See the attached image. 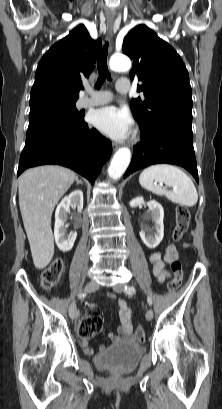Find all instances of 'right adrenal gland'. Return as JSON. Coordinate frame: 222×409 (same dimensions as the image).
<instances>
[{"label": "right adrenal gland", "mask_w": 222, "mask_h": 409, "mask_svg": "<svg viewBox=\"0 0 222 409\" xmlns=\"http://www.w3.org/2000/svg\"><path fill=\"white\" fill-rule=\"evenodd\" d=\"M76 184H82V181H80L78 178H76Z\"/></svg>", "instance_id": "1"}]
</instances>
